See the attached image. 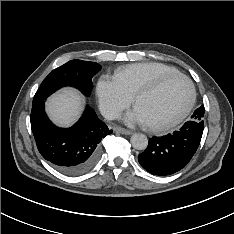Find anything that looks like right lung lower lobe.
Listing matches in <instances>:
<instances>
[{"label": "right lung lower lobe", "mask_w": 234, "mask_h": 234, "mask_svg": "<svg viewBox=\"0 0 234 234\" xmlns=\"http://www.w3.org/2000/svg\"><path fill=\"white\" fill-rule=\"evenodd\" d=\"M45 100L32 105L31 129L41 155L60 172L76 176L91 169L100 152V141L113 130L87 107L70 128H58L47 117Z\"/></svg>", "instance_id": "1"}]
</instances>
